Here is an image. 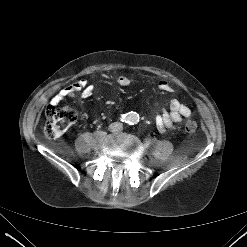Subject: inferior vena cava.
I'll return each instance as SVG.
<instances>
[{
	"label": "inferior vena cava",
	"mask_w": 247,
	"mask_h": 247,
	"mask_svg": "<svg viewBox=\"0 0 247 247\" xmlns=\"http://www.w3.org/2000/svg\"><path fill=\"white\" fill-rule=\"evenodd\" d=\"M122 127V124L120 122H115L110 125V128L112 131H118Z\"/></svg>",
	"instance_id": "1"
}]
</instances>
